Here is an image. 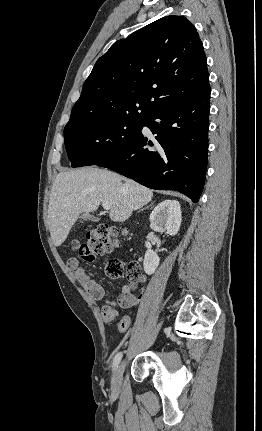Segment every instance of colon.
Segmentation results:
<instances>
[{
    "instance_id": "obj_1",
    "label": "colon",
    "mask_w": 262,
    "mask_h": 431,
    "mask_svg": "<svg viewBox=\"0 0 262 431\" xmlns=\"http://www.w3.org/2000/svg\"><path fill=\"white\" fill-rule=\"evenodd\" d=\"M118 231L107 224H101L91 231L84 241L72 240L71 248L83 261L92 262L97 256L104 255L117 248L119 243L116 238ZM106 274L111 278H120L127 274L130 278H137L140 274L139 266L131 262L127 267L119 260L107 263ZM104 320L108 323L115 322L121 330L129 327L130 321L127 317L116 319L110 314H104Z\"/></svg>"
}]
</instances>
